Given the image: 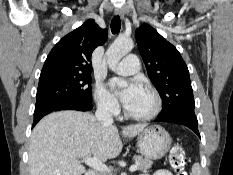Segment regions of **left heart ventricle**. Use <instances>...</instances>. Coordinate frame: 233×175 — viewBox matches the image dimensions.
Wrapping results in <instances>:
<instances>
[{"mask_svg":"<svg viewBox=\"0 0 233 175\" xmlns=\"http://www.w3.org/2000/svg\"><path fill=\"white\" fill-rule=\"evenodd\" d=\"M154 106L153 98L144 90L139 96L126 108L133 114H144L150 111Z\"/></svg>","mask_w":233,"mask_h":175,"instance_id":"obj_1","label":"left heart ventricle"}]
</instances>
